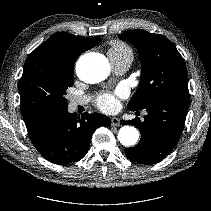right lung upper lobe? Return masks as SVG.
Segmentation results:
<instances>
[{"mask_svg": "<svg viewBox=\"0 0 211 211\" xmlns=\"http://www.w3.org/2000/svg\"><path fill=\"white\" fill-rule=\"evenodd\" d=\"M101 41L100 37H78L69 33H55L31 54L46 53L52 59L65 67L74 68L77 57L84 51L94 47ZM21 113L26 126L34 122L40 116L28 114L21 107Z\"/></svg>", "mask_w": 211, "mask_h": 211, "instance_id": "right-lung-upper-lobe-1", "label": "right lung upper lobe"}]
</instances>
